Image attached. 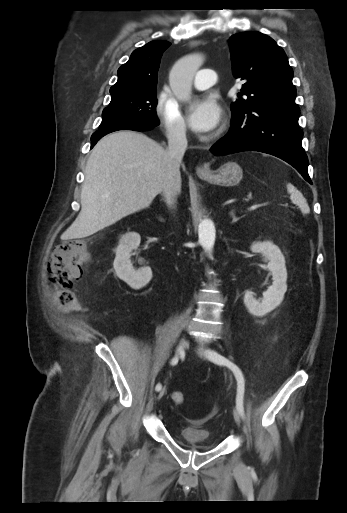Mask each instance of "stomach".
<instances>
[{
	"label": "stomach",
	"instance_id": "obj_1",
	"mask_svg": "<svg viewBox=\"0 0 347 513\" xmlns=\"http://www.w3.org/2000/svg\"><path fill=\"white\" fill-rule=\"evenodd\" d=\"M243 177L242 168L236 162H227L220 166L216 171H212L207 176H201L207 182L219 186H235Z\"/></svg>",
	"mask_w": 347,
	"mask_h": 513
}]
</instances>
